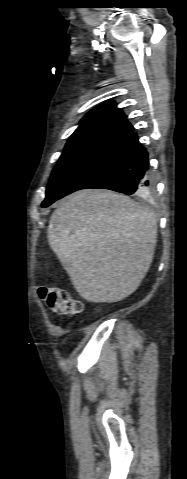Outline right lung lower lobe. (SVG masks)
<instances>
[{
    "mask_svg": "<svg viewBox=\"0 0 187 479\" xmlns=\"http://www.w3.org/2000/svg\"><path fill=\"white\" fill-rule=\"evenodd\" d=\"M101 188L151 199L155 192L148 153L131 131L103 156L84 169L56 200L80 189Z\"/></svg>",
    "mask_w": 187,
    "mask_h": 479,
    "instance_id": "1",
    "label": "right lung lower lobe"
}]
</instances>
